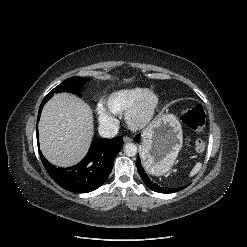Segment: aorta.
I'll return each instance as SVG.
<instances>
[{
    "instance_id": "1",
    "label": "aorta",
    "mask_w": 247,
    "mask_h": 247,
    "mask_svg": "<svg viewBox=\"0 0 247 247\" xmlns=\"http://www.w3.org/2000/svg\"><path fill=\"white\" fill-rule=\"evenodd\" d=\"M137 146L134 143H126L124 146V153L129 157H133L137 154Z\"/></svg>"
}]
</instances>
